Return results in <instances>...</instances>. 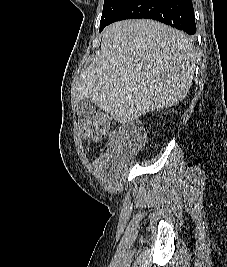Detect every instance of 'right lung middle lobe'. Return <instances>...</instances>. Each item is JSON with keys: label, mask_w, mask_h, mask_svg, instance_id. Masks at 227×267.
Returning a JSON list of instances; mask_svg holds the SVG:
<instances>
[{"label": "right lung middle lobe", "mask_w": 227, "mask_h": 267, "mask_svg": "<svg viewBox=\"0 0 227 267\" xmlns=\"http://www.w3.org/2000/svg\"><path fill=\"white\" fill-rule=\"evenodd\" d=\"M126 1L127 0H104L100 30L108 25Z\"/></svg>", "instance_id": "obj_1"}]
</instances>
